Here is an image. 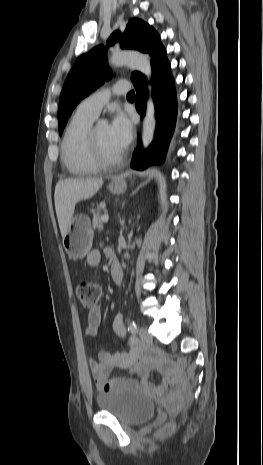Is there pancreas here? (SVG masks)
<instances>
[{"instance_id":"cf45deb5","label":"pancreas","mask_w":263,"mask_h":465,"mask_svg":"<svg viewBox=\"0 0 263 465\" xmlns=\"http://www.w3.org/2000/svg\"><path fill=\"white\" fill-rule=\"evenodd\" d=\"M102 214L98 209L95 213H93V228L101 230L103 228V221H102Z\"/></svg>"}]
</instances>
